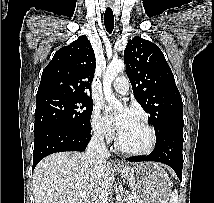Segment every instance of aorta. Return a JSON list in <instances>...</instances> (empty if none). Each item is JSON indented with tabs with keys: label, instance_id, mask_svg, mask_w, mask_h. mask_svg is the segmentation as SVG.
<instances>
[{
	"label": "aorta",
	"instance_id": "762f6f07",
	"mask_svg": "<svg viewBox=\"0 0 214 203\" xmlns=\"http://www.w3.org/2000/svg\"><path fill=\"white\" fill-rule=\"evenodd\" d=\"M125 68V63L122 59L113 60L106 69L105 75L103 76V91L105 100L108 103H115L116 98L112 92L111 84L118 74Z\"/></svg>",
	"mask_w": 214,
	"mask_h": 203
}]
</instances>
